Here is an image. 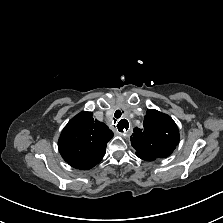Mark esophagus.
Here are the masks:
<instances>
[{
  "mask_svg": "<svg viewBox=\"0 0 223 223\" xmlns=\"http://www.w3.org/2000/svg\"><path fill=\"white\" fill-rule=\"evenodd\" d=\"M130 130H131V125L127 120L123 119L118 123L117 132L121 136H127Z\"/></svg>",
  "mask_w": 223,
  "mask_h": 223,
  "instance_id": "obj_1",
  "label": "esophagus"
}]
</instances>
